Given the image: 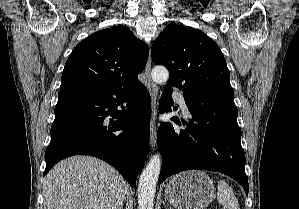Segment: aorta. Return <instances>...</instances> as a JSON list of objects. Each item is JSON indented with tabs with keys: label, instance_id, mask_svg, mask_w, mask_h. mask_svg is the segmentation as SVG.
I'll return each mask as SVG.
<instances>
[{
	"label": "aorta",
	"instance_id": "obj_1",
	"mask_svg": "<svg viewBox=\"0 0 299 209\" xmlns=\"http://www.w3.org/2000/svg\"><path fill=\"white\" fill-rule=\"evenodd\" d=\"M151 76L155 83H165L169 78V72L163 66H156L152 69ZM160 171L161 156L157 154L152 156L140 176L138 186L139 209H153Z\"/></svg>",
	"mask_w": 299,
	"mask_h": 209
}]
</instances>
